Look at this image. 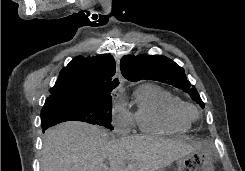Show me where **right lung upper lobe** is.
Listing matches in <instances>:
<instances>
[{"label":"right lung upper lobe","mask_w":245,"mask_h":171,"mask_svg":"<svg viewBox=\"0 0 245 171\" xmlns=\"http://www.w3.org/2000/svg\"><path fill=\"white\" fill-rule=\"evenodd\" d=\"M115 60L110 54L94 57H75L64 67L55 85L49 90L46 102L58 100H88L105 95L118 86Z\"/></svg>","instance_id":"obj_1"}]
</instances>
